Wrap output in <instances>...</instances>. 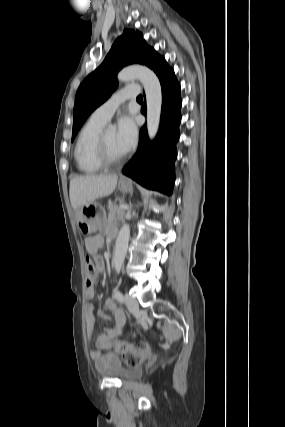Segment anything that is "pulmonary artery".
I'll list each match as a JSON object with an SVG mask.
<instances>
[{
  "label": "pulmonary artery",
  "mask_w": 285,
  "mask_h": 427,
  "mask_svg": "<svg viewBox=\"0 0 285 427\" xmlns=\"http://www.w3.org/2000/svg\"><path fill=\"white\" fill-rule=\"evenodd\" d=\"M139 93L140 90L137 85H128L114 93L106 102L96 108L91 117L106 123L121 103L127 99L136 98Z\"/></svg>",
  "instance_id": "e3ab8cb5"
}]
</instances>
